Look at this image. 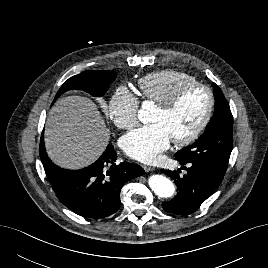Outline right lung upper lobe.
Here are the masks:
<instances>
[{
	"label": "right lung upper lobe",
	"mask_w": 268,
	"mask_h": 268,
	"mask_svg": "<svg viewBox=\"0 0 268 268\" xmlns=\"http://www.w3.org/2000/svg\"><path fill=\"white\" fill-rule=\"evenodd\" d=\"M40 158L43 163V166H45L46 168L50 166L51 160L48 158L46 154L45 147L41 145H40Z\"/></svg>",
	"instance_id": "right-lung-upper-lobe-1"
}]
</instances>
